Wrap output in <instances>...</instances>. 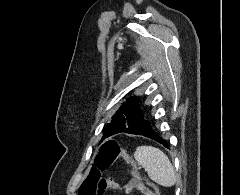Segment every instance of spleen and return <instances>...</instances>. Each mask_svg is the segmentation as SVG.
<instances>
[{"mask_svg":"<svg viewBox=\"0 0 240 195\" xmlns=\"http://www.w3.org/2000/svg\"><path fill=\"white\" fill-rule=\"evenodd\" d=\"M134 157L145 171H147L150 179L164 185V187H171L176 183V175L174 167L164 151L152 145H139L136 147Z\"/></svg>","mask_w":240,"mask_h":195,"instance_id":"obj_1","label":"spleen"}]
</instances>
